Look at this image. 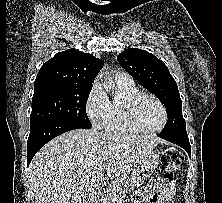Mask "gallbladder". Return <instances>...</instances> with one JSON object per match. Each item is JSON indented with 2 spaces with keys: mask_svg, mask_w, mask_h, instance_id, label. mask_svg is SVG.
Instances as JSON below:
<instances>
[{
  "mask_svg": "<svg viewBox=\"0 0 222 203\" xmlns=\"http://www.w3.org/2000/svg\"><path fill=\"white\" fill-rule=\"evenodd\" d=\"M83 203H89V198L87 196L84 198Z\"/></svg>",
  "mask_w": 222,
  "mask_h": 203,
  "instance_id": "gallbladder-1",
  "label": "gallbladder"
}]
</instances>
